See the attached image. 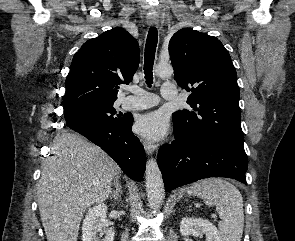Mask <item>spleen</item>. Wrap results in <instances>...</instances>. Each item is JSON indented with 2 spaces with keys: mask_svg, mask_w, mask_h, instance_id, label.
Segmentation results:
<instances>
[{
  "mask_svg": "<svg viewBox=\"0 0 295 241\" xmlns=\"http://www.w3.org/2000/svg\"><path fill=\"white\" fill-rule=\"evenodd\" d=\"M188 195L199 196L209 206H216L222 241H241L244 227L243 198L239 190L222 178H208L192 184Z\"/></svg>",
  "mask_w": 295,
  "mask_h": 241,
  "instance_id": "obj_1",
  "label": "spleen"
}]
</instances>
